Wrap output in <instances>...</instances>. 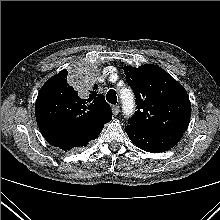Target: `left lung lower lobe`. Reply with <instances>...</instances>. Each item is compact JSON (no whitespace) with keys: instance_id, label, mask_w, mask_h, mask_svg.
I'll return each instance as SVG.
<instances>
[{"instance_id":"left-lung-lower-lobe-1","label":"left lung lower lobe","mask_w":220,"mask_h":220,"mask_svg":"<svg viewBox=\"0 0 220 220\" xmlns=\"http://www.w3.org/2000/svg\"><path fill=\"white\" fill-rule=\"evenodd\" d=\"M125 131L131 141L140 149L150 153H160L171 149L182 137L179 133H155L135 129L127 125Z\"/></svg>"}]
</instances>
